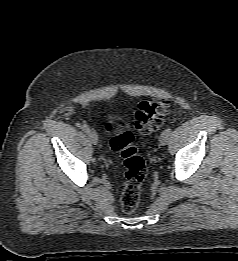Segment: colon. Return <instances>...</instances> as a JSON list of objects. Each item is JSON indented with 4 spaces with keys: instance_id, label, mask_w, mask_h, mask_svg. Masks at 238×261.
<instances>
[{
    "instance_id": "obj_1",
    "label": "colon",
    "mask_w": 238,
    "mask_h": 261,
    "mask_svg": "<svg viewBox=\"0 0 238 261\" xmlns=\"http://www.w3.org/2000/svg\"><path fill=\"white\" fill-rule=\"evenodd\" d=\"M169 110L168 101L150 99L141 102L135 115V128L144 134L155 132ZM110 147L123 159L125 180L120 201L122 211L129 214L139 204L141 185L147 171L146 163L139 155L134 145V136L129 131L113 137L110 140Z\"/></svg>"
}]
</instances>
